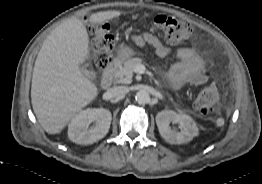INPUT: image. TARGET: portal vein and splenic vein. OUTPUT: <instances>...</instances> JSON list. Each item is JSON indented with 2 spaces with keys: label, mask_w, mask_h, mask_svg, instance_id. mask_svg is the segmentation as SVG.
I'll list each match as a JSON object with an SVG mask.
<instances>
[{
  "label": "portal vein and splenic vein",
  "mask_w": 262,
  "mask_h": 184,
  "mask_svg": "<svg viewBox=\"0 0 262 184\" xmlns=\"http://www.w3.org/2000/svg\"><path fill=\"white\" fill-rule=\"evenodd\" d=\"M145 66L144 65H138L136 68H135V72H137V73H140V74H142V73H144L145 72ZM147 73L150 75V76H152V73L151 72H149V71H147Z\"/></svg>",
  "instance_id": "1"
}]
</instances>
